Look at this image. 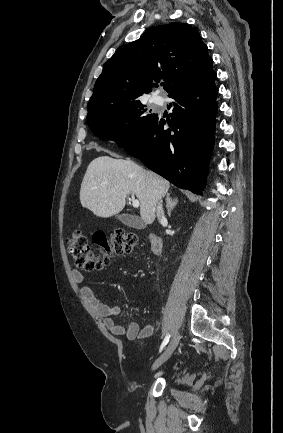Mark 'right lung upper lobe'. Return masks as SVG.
<instances>
[{
  "label": "right lung upper lobe",
  "instance_id": "right-lung-upper-lobe-1",
  "mask_svg": "<svg viewBox=\"0 0 283 433\" xmlns=\"http://www.w3.org/2000/svg\"><path fill=\"white\" fill-rule=\"evenodd\" d=\"M200 34L186 23L152 27L119 47L104 64L88 104V115L134 101L163 79L171 94L215 74Z\"/></svg>",
  "mask_w": 283,
  "mask_h": 433
}]
</instances>
